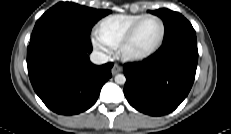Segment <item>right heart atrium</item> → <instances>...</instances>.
<instances>
[{"instance_id": "1", "label": "right heart atrium", "mask_w": 231, "mask_h": 134, "mask_svg": "<svg viewBox=\"0 0 231 134\" xmlns=\"http://www.w3.org/2000/svg\"><path fill=\"white\" fill-rule=\"evenodd\" d=\"M94 49L99 52L103 57H108L111 54L110 48L105 45L98 37L92 38Z\"/></svg>"}]
</instances>
